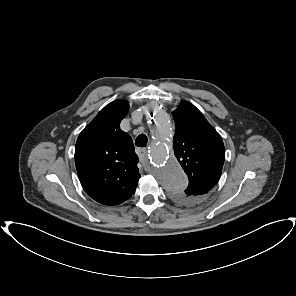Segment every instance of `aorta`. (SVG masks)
I'll return each instance as SVG.
<instances>
[{"label": "aorta", "mask_w": 296, "mask_h": 296, "mask_svg": "<svg viewBox=\"0 0 296 296\" xmlns=\"http://www.w3.org/2000/svg\"><path fill=\"white\" fill-rule=\"evenodd\" d=\"M146 114L151 121L149 156L155 175L168 191L183 190L188 180L181 166L174 159L172 144L174 125L168 113L156 102L147 105Z\"/></svg>", "instance_id": "aorta-1"}]
</instances>
